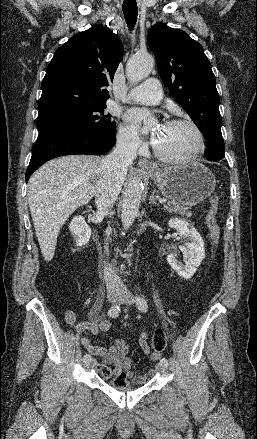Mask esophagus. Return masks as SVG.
<instances>
[{"mask_svg":"<svg viewBox=\"0 0 257 439\" xmlns=\"http://www.w3.org/2000/svg\"><path fill=\"white\" fill-rule=\"evenodd\" d=\"M138 164L143 170L151 171L155 169V166L148 162L146 159H139Z\"/></svg>","mask_w":257,"mask_h":439,"instance_id":"esophagus-1","label":"esophagus"}]
</instances>
